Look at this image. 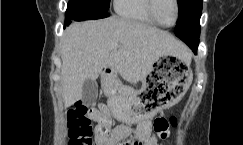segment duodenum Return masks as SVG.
<instances>
[{
    "instance_id": "obj_1",
    "label": "duodenum",
    "mask_w": 243,
    "mask_h": 145,
    "mask_svg": "<svg viewBox=\"0 0 243 145\" xmlns=\"http://www.w3.org/2000/svg\"><path fill=\"white\" fill-rule=\"evenodd\" d=\"M103 75L106 84H110L113 81V71L111 67H105L103 70Z\"/></svg>"
}]
</instances>
